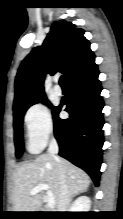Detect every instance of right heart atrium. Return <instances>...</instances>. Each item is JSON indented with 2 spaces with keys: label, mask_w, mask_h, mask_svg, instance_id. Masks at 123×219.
<instances>
[{
  "label": "right heart atrium",
  "mask_w": 123,
  "mask_h": 219,
  "mask_svg": "<svg viewBox=\"0 0 123 219\" xmlns=\"http://www.w3.org/2000/svg\"><path fill=\"white\" fill-rule=\"evenodd\" d=\"M24 125L29 150L40 152L53 134V121L48 107L42 103L29 107L24 115Z\"/></svg>",
  "instance_id": "obj_1"
}]
</instances>
